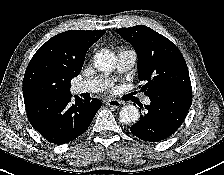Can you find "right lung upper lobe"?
I'll use <instances>...</instances> for the list:
<instances>
[{
	"label": "right lung upper lobe",
	"mask_w": 224,
	"mask_h": 175,
	"mask_svg": "<svg viewBox=\"0 0 224 175\" xmlns=\"http://www.w3.org/2000/svg\"><path fill=\"white\" fill-rule=\"evenodd\" d=\"M104 34L103 30H70L43 44L26 69L24 100L49 95L50 86L60 91L69 90L70 81L81 72L87 50Z\"/></svg>",
	"instance_id": "cb5924a9"
}]
</instances>
